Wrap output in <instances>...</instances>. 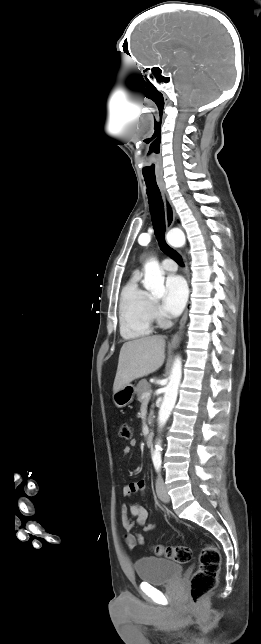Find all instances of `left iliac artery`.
<instances>
[{
  "mask_svg": "<svg viewBox=\"0 0 261 644\" xmlns=\"http://www.w3.org/2000/svg\"><path fill=\"white\" fill-rule=\"evenodd\" d=\"M153 463H154L155 469L157 470V472H159L161 467V459L155 457L153 459Z\"/></svg>",
  "mask_w": 261,
  "mask_h": 644,
  "instance_id": "1",
  "label": "left iliac artery"
}]
</instances>
